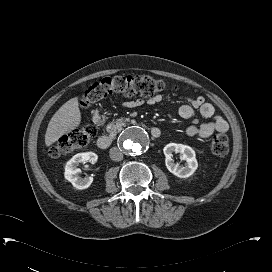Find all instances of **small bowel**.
Instances as JSON below:
<instances>
[{
	"instance_id": "obj_1",
	"label": "small bowel",
	"mask_w": 272,
	"mask_h": 272,
	"mask_svg": "<svg viewBox=\"0 0 272 272\" xmlns=\"http://www.w3.org/2000/svg\"><path fill=\"white\" fill-rule=\"evenodd\" d=\"M186 100L185 104H182L179 108V115L184 119H190L194 116L195 111L199 113V115L206 119V121L200 123L199 125L191 124L186 130L185 134L187 136H196L198 138H207L212 135L214 132H222L225 133L228 131L229 126L227 121L215 114V109L211 103L205 101L203 96L184 97ZM162 100L161 96L157 95L152 97L146 101L148 105H155L160 103ZM144 102L142 100L127 102L125 104L126 107H136L142 105Z\"/></svg>"
}]
</instances>
